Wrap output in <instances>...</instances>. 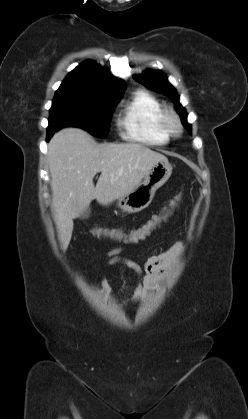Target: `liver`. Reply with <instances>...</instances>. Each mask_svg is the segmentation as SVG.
I'll use <instances>...</instances> for the list:
<instances>
[{
	"instance_id": "1",
	"label": "liver",
	"mask_w": 248,
	"mask_h": 419,
	"mask_svg": "<svg viewBox=\"0 0 248 419\" xmlns=\"http://www.w3.org/2000/svg\"><path fill=\"white\" fill-rule=\"evenodd\" d=\"M52 206L63 251L73 231V219L93 199L108 205L139 185L151 167L167 158L137 143L97 144L84 130L64 128L48 144ZM101 175L96 186L93 178Z\"/></svg>"
}]
</instances>
